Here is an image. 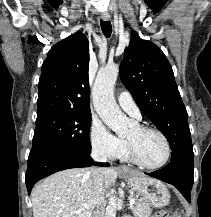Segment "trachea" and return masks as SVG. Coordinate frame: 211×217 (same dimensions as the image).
Instances as JSON below:
<instances>
[{"instance_id":"obj_1","label":"trachea","mask_w":211,"mask_h":217,"mask_svg":"<svg viewBox=\"0 0 211 217\" xmlns=\"http://www.w3.org/2000/svg\"><path fill=\"white\" fill-rule=\"evenodd\" d=\"M100 24H101V29H102L103 34L106 37H110V35L112 33V25H111L110 21L101 20Z\"/></svg>"}]
</instances>
